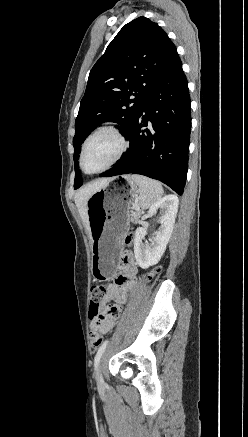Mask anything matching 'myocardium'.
Here are the masks:
<instances>
[{
	"instance_id": "obj_1",
	"label": "myocardium",
	"mask_w": 248,
	"mask_h": 437,
	"mask_svg": "<svg viewBox=\"0 0 248 437\" xmlns=\"http://www.w3.org/2000/svg\"><path fill=\"white\" fill-rule=\"evenodd\" d=\"M104 132H108L113 134L118 141L120 142V148L118 150V152L116 153V155L114 156V158L104 167H102L99 170H96L94 172H88L85 168L84 165V155H85V151H86V147L89 143V141L94 138L95 136H97L98 134L104 133ZM129 141L127 139V137L125 136V134L123 133V131L115 124L113 123H106L103 124L99 127H97L94 131H92L84 140L82 147H81V152H80V166L81 169L83 170V172H85L86 174H99L102 173L108 169H110L112 166H114L117 162H119L122 157L125 155V153L128 151L129 149Z\"/></svg>"
}]
</instances>
